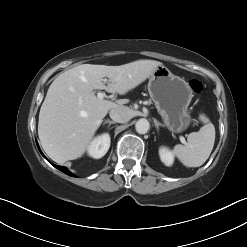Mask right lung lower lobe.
Masks as SVG:
<instances>
[{"instance_id": "obj_1", "label": "right lung lower lobe", "mask_w": 247, "mask_h": 247, "mask_svg": "<svg viewBox=\"0 0 247 247\" xmlns=\"http://www.w3.org/2000/svg\"><path fill=\"white\" fill-rule=\"evenodd\" d=\"M39 148V147H38ZM41 152V151H40ZM43 155V154H42ZM44 156V155H43ZM57 169H59L60 171L64 172L65 174L69 175V176H74L71 172H69L65 167L63 166H58V165H54Z\"/></svg>"}]
</instances>
